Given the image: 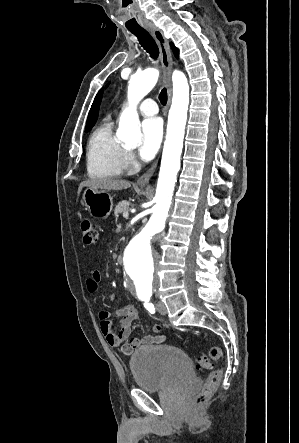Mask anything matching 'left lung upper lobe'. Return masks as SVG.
Listing matches in <instances>:
<instances>
[{
	"label": "left lung upper lobe",
	"instance_id": "1",
	"mask_svg": "<svg viewBox=\"0 0 299 443\" xmlns=\"http://www.w3.org/2000/svg\"><path fill=\"white\" fill-rule=\"evenodd\" d=\"M171 47H172V49H173V51H174V53H175V55L176 56H178V50L174 47V45L171 43Z\"/></svg>",
	"mask_w": 299,
	"mask_h": 443
}]
</instances>
